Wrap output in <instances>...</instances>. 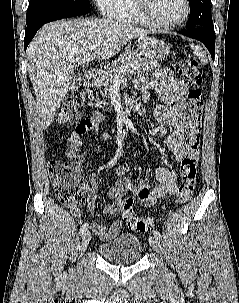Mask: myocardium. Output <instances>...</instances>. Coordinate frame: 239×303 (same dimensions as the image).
I'll return each mask as SVG.
<instances>
[{
	"instance_id": "1",
	"label": "myocardium",
	"mask_w": 239,
	"mask_h": 303,
	"mask_svg": "<svg viewBox=\"0 0 239 303\" xmlns=\"http://www.w3.org/2000/svg\"><path fill=\"white\" fill-rule=\"evenodd\" d=\"M133 1H134L135 10L138 16L140 17V19L143 21V23L148 27L159 29V30H170L182 25L188 19L191 12L190 1L183 0L185 6V11L183 16L179 20L173 23L161 24L155 22L150 17L149 11H150L151 0H133Z\"/></svg>"
}]
</instances>
